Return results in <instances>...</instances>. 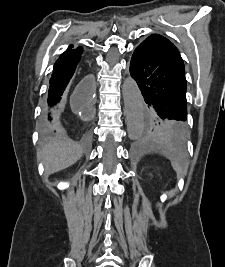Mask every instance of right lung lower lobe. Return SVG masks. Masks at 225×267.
<instances>
[{"label":"right lung lower lobe","mask_w":225,"mask_h":267,"mask_svg":"<svg viewBox=\"0 0 225 267\" xmlns=\"http://www.w3.org/2000/svg\"><path fill=\"white\" fill-rule=\"evenodd\" d=\"M86 57L82 55V48L69 45L54 64L50 79L49 96L47 101L46 122L43 128L45 135H53L58 129L56 112L60 102L65 98L76 79L85 72ZM83 83L89 89L92 81L89 76L84 77Z\"/></svg>","instance_id":"obj_1"}]
</instances>
